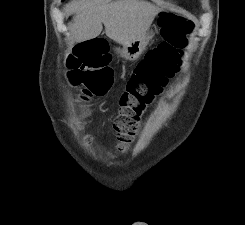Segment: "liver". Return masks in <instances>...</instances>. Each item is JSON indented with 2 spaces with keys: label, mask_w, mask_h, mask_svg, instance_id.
I'll list each match as a JSON object with an SVG mask.
<instances>
[{
  "label": "liver",
  "mask_w": 245,
  "mask_h": 225,
  "mask_svg": "<svg viewBox=\"0 0 245 225\" xmlns=\"http://www.w3.org/2000/svg\"><path fill=\"white\" fill-rule=\"evenodd\" d=\"M70 28L71 43L96 38L104 24L106 35L119 44L141 38L151 26L159 7L142 0L90 3L82 1Z\"/></svg>",
  "instance_id": "liver-1"
}]
</instances>
